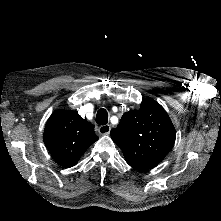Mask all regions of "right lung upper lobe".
<instances>
[{"label":"right lung upper lobe","mask_w":221,"mask_h":221,"mask_svg":"<svg viewBox=\"0 0 221 221\" xmlns=\"http://www.w3.org/2000/svg\"><path fill=\"white\" fill-rule=\"evenodd\" d=\"M97 140L93 125L74 111H54L44 130V143L52 158L65 168L76 165Z\"/></svg>","instance_id":"1"}]
</instances>
